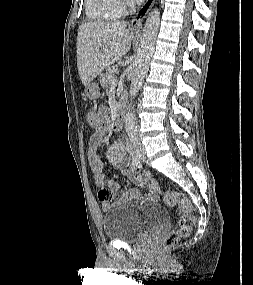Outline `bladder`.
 <instances>
[{"mask_svg": "<svg viewBox=\"0 0 253 285\" xmlns=\"http://www.w3.org/2000/svg\"><path fill=\"white\" fill-rule=\"evenodd\" d=\"M167 220L166 209L159 205L119 201L103 215L102 231L110 241L133 243Z\"/></svg>", "mask_w": 253, "mask_h": 285, "instance_id": "obj_1", "label": "bladder"}]
</instances>
